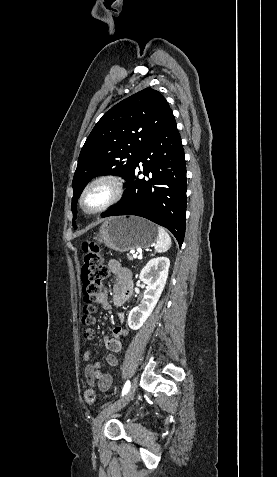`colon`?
Segmentation results:
<instances>
[{
	"label": "colon",
	"mask_w": 277,
	"mask_h": 477,
	"mask_svg": "<svg viewBox=\"0 0 277 477\" xmlns=\"http://www.w3.org/2000/svg\"><path fill=\"white\" fill-rule=\"evenodd\" d=\"M83 263L81 267L82 293L85 305L83 307L82 322L88 328L84 332V337H93V331L89 328L94 324L95 306L100 302L104 289V280L108 276V268L103 264L99 245L93 241L82 243ZM85 401L93 404L96 393L92 388L86 389L84 393Z\"/></svg>",
	"instance_id": "5ec220e1"
}]
</instances>
